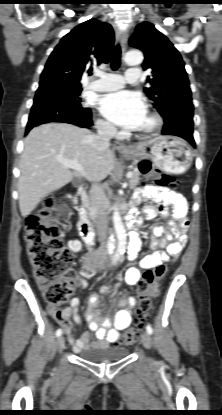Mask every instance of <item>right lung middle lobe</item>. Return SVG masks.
<instances>
[{
	"mask_svg": "<svg viewBox=\"0 0 222 415\" xmlns=\"http://www.w3.org/2000/svg\"><path fill=\"white\" fill-rule=\"evenodd\" d=\"M64 84L65 90L71 94L72 97H74L79 102L81 101L80 94L82 92L81 86L71 85L66 82H62Z\"/></svg>",
	"mask_w": 222,
	"mask_h": 415,
	"instance_id": "obj_1",
	"label": "right lung middle lobe"
}]
</instances>
